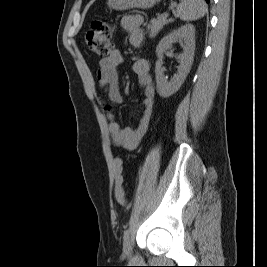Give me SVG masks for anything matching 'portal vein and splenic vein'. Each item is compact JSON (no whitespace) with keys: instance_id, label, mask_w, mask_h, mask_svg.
<instances>
[{"instance_id":"18ae733b","label":"portal vein and splenic vein","mask_w":267,"mask_h":267,"mask_svg":"<svg viewBox=\"0 0 267 267\" xmlns=\"http://www.w3.org/2000/svg\"><path fill=\"white\" fill-rule=\"evenodd\" d=\"M161 16H163V17H168L169 16V14L167 13V12H165V13H163Z\"/></svg>"}]
</instances>
